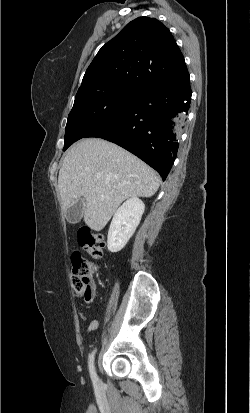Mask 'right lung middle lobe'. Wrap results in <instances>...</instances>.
Wrapping results in <instances>:
<instances>
[{
    "mask_svg": "<svg viewBox=\"0 0 250 413\" xmlns=\"http://www.w3.org/2000/svg\"><path fill=\"white\" fill-rule=\"evenodd\" d=\"M140 92L124 85L94 86L79 90L68 116L63 150L113 119Z\"/></svg>",
    "mask_w": 250,
    "mask_h": 413,
    "instance_id": "right-lung-middle-lobe-1",
    "label": "right lung middle lobe"
}]
</instances>
